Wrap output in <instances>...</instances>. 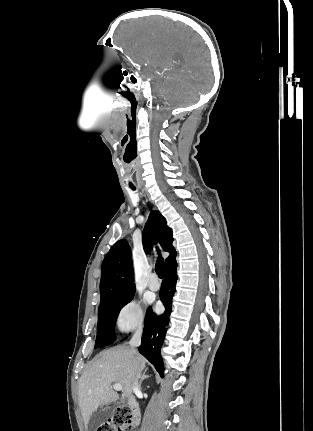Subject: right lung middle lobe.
Returning a JSON list of instances; mask_svg holds the SVG:
<instances>
[{
    "instance_id": "right-lung-middle-lobe-1",
    "label": "right lung middle lobe",
    "mask_w": 313,
    "mask_h": 431,
    "mask_svg": "<svg viewBox=\"0 0 313 431\" xmlns=\"http://www.w3.org/2000/svg\"><path fill=\"white\" fill-rule=\"evenodd\" d=\"M135 292L101 302L98 313L97 338L94 348L110 345L115 341L114 327L121 308L129 303Z\"/></svg>"
}]
</instances>
